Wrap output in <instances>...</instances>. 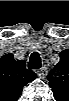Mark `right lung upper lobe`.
<instances>
[{"instance_id": "obj_1", "label": "right lung upper lobe", "mask_w": 69, "mask_h": 101, "mask_svg": "<svg viewBox=\"0 0 69 101\" xmlns=\"http://www.w3.org/2000/svg\"><path fill=\"white\" fill-rule=\"evenodd\" d=\"M36 78V74L26 69L24 60H15L11 53L0 59V89L10 100H17L23 87Z\"/></svg>"}]
</instances>
